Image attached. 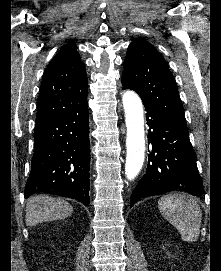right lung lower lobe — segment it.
<instances>
[{
    "instance_id": "right-lung-lower-lobe-1",
    "label": "right lung lower lobe",
    "mask_w": 221,
    "mask_h": 271,
    "mask_svg": "<svg viewBox=\"0 0 221 271\" xmlns=\"http://www.w3.org/2000/svg\"><path fill=\"white\" fill-rule=\"evenodd\" d=\"M34 141L25 198L46 192L89 205L88 107L36 123Z\"/></svg>"
}]
</instances>
